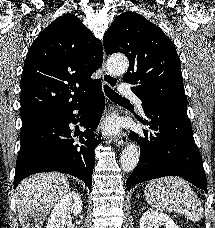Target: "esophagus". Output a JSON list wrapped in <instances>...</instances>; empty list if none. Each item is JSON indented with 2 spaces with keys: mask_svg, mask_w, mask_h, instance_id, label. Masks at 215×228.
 Returning <instances> with one entry per match:
<instances>
[{
  "mask_svg": "<svg viewBox=\"0 0 215 228\" xmlns=\"http://www.w3.org/2000/svg\"><path fill=\"white\" fill-rule=\"evenodd\" d=\"M102 70H103V75H102L103 82L106 85H108L110 88H116L118 85V80L114 75H112L107 71L105 52L103 57ZM126 141H127V134L123 132L117 137V139L115 140V144L117 145V147H120V146H123L126 143Z\"/></svg>",
  "mask_w": 215,
  "mask_h": 228,
  "instance_id": "esophagus-1",
  "label": "esophagus"
}]
</instances>
